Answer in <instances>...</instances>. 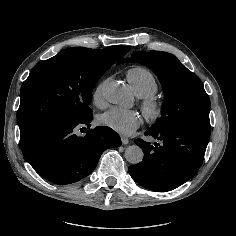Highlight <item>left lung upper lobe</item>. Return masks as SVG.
Listing matches in <instances>:
<instances>
[{
	"label": "left lung upper lobe",
	"instance_id": "left-lung-upper-lobe-1",
	"mask_svg": "<svg viewBox=\"0 0 236 236\" xmlns=\"http://www.w3.org/2000/svg\"><path fill=\"white\" fill-rule=\"evenodd\" d=\"M137 62L158 76L165 98L161 117L149 129L196 127L210 130V99L197 75L174 55L161 51L135 52L120 63Z\"/></svg>",
	"mask_w": 236,
	"mask_h": 236
}]
</instances>
